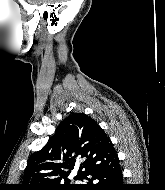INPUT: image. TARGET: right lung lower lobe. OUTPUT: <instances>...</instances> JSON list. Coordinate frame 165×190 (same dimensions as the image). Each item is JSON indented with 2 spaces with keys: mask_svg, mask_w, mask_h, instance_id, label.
<instances>
[{
  "mask_svg": "<svg viewBox=\"0 0 165 190\" xmlns=\"http://www.w3.org/2000/svg\"><path fill=\"white\" fill-rule=\"evenodd\" d=\"M80 179L87 182L80 190H127L116 154L91 167Z\"/></svg>",
  "mask_w": 165,
  "mask_h": 190,
  "instance_id": "98d812e1",
  "label": "right lung lower lobe"
}]
</instances>
